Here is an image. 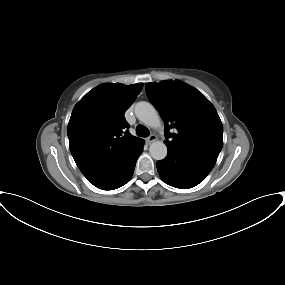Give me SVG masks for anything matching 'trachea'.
I'll return each instance as SVG.
<instances>
[{"mask_svg": "<svg viewBox=\"0 0 285 285\" xmlns=\"http://www.w3.org/2000/svg\"><path fill=\"white\" fill-rule=\"evenodd\" d=\"M136 133L140 137H147L150 134L148 128L143 125H138L136 127Z\"/></svg>", "mask_w": 285, "mask_h": 285, "instance_id": "3493384b", "label": "trachea"}]
</instances>
